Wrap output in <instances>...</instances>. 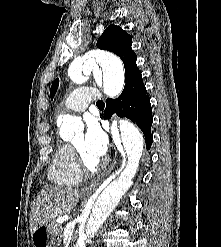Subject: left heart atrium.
<instances>
[{"label":"left heart atrium","instance_id":"39dd6f15","mask_svg":"<svg viewBox=\"0 0 221 247\" xmlns=\"http://www.w3.org/2000/svg\"><path fill=\"white\" fill-rule=\"evenodd\" d=\"M108 139L105 132L96 122H90L84 135L85 151L93 158L100 160L106 153Z\"/></svg>","mask_w":221,"mask_h":247}]
</instances>
